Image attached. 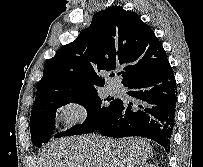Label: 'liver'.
Returning a JSON list of instances; mask_svg holds the SVG:
<instances>
[{
  "label": "liver",
  "mask_w": 203,
  "mask_h": 167,
  "mask_svg": "<svg viewBox=\"0 0 203 167\" xmlns=\"http://www.w3.org/2000/svg\"><path fill=\"white\" fill-rule=\"evenodd\" d=\"M152 154L142 138L64 137L42 150L36 167H139Z\"/></svg>",
  "instance_id": "1"
}]
</instances>
